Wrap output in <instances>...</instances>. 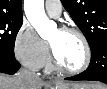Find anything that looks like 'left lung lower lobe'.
I'll return each mask as SVG.
<instances>
[{
	"label": "left lung lower lobe",
	"instance_id": "0a47b994",
	"mask_svg": "<svg viewBox=\"0 0 107 89\" xmlns=\"http://www.w3.org/2000/svg\"><path fill=\"white\" fill-rule=\"evenodd\" d=\"M92 57L89 67L82 73L65 78L66 80L101 81L107 84V41L91 49Z\"/></svg>",
	"mask_w": 107,
	"mask_h": 89
}]
</instances>
